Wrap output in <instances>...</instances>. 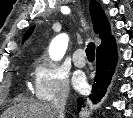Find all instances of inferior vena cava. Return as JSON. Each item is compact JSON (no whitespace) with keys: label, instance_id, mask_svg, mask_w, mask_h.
I'll return each instance as SVG.
<instances>
[{"label":"inferior vena cava","instance_id":"inferior-vena-cava-1","mask_svg":"<svg viewBox=\"0 0 133 118\" xmlns=\"http://www.w3.org/2000/svg\"><path fill=\"white\" fill-rule=\"evenodd\" d=\"M68 97V91H61L52 101L51 109L54 118H65V106Z\"/></svg>","mask_w":133,"mask_h":118}]
</instances>
